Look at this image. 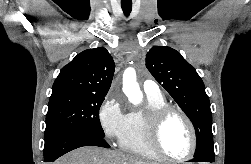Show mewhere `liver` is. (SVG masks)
<instances>
[{"mask_svg": "<svg viewBox=\"0 0 251 164\" xmlns=\"http://www.w3.org/2000/svg\"><path fill=\"white\" fill-rule=\"evenodd\" d=\"M54 164H157L119 151L99 147H81L61 157Z\"/></svg>", "mask_w": 251, "mask_h": 164, "instance_id": "6515ba94", "label": "liver"}]
</instances>
